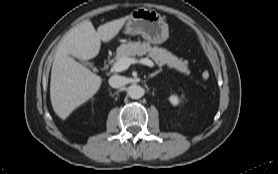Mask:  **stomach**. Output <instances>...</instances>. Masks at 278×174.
<instances>
[{
  "label": "stomach",
  "mask_w": 278,
  "mask_h": 174,
  "mask_svg": "<svg viewBox=\"0 0 278 174\" xmlns=\"http://www.w3.org/2000/svg\"><path fill=\"white\" fill-rule=\"evenodd\" d=\"M126 34L142 37L151 44H162L169 37L168 25L155 10L138 8L134 10L126 22Z\"/></svg>",
  "instance_id": "obj_1"
}]
</instances>
